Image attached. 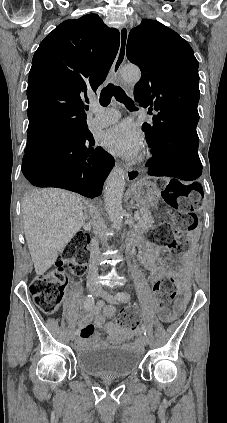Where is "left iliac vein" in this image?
<instances>
[{"mask_svg": "<svg viewBox=\"0 0 227 423\" xmlns=\"http://www.w3.org/2000/svg\"><path fill=\"white\" fill-rule=\"evenodd\" d=\"M99 296H101L103 299H105L106 301H108L110 303H113V304L117 303L116 297H114L113 295H111L110 293H108L107 291H105L103 289L100 290ZM143 342H144L145 345H148L149 344V338L147 336H144Z\"/></svg>", "mask_w": 227, "mask_h": 423, "instance_id": "left-iliac-vein-1", "label": "left iliac vein"}]
</instances>
